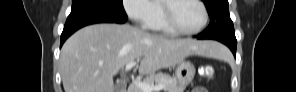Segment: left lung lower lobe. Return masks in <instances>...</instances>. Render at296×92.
I'll return each mask as SVG.
<instances>
[{
	"label": "left lung lower lobe",
	"instance_id": "0a47b994",
	"mask_svg": "<svg viewBox=\"0 0 296 92\" xmlns=\"http://www.w3.org/2000/svg\"><path fill=\"white\" fill-rule=\"evenodd\" d=\"M195 37L197 39H208V38H206V36L203 33H200ZM212 39L220 41V42L224 43L225 45H227L230 48V50L232 51V53L234 54V56H236V46H237L236 38L219 37V38H212Z\"/></svg>",
	"mask_w": 296,
	"mask_h": 92
}]
</instances>
